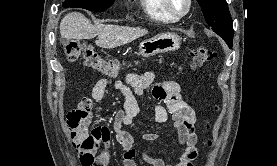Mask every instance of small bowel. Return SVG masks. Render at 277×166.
Segmentation results:
<instances>
[{"mask_svg":"<svg viewBox=\"0 0 277 166\" xmlns=\"http://www.w3.org/2000/svg\"><path fill=\"white\" fill-rule=\"evenodd\" d=\"M154 79L155 74L147 71L142 74L128 73L123 79L102 78L98 80L92 89L91 97L83 98L77 109L67 116L68 127L76 111L85 113V122L88 126L92 119L94 105L103 100L107 88L112 86L124 98L123 106L116 111L113 124L116 141L122 148V166H137L135 138L124 127L133 125V119L140 112V105L136 97L143 95L146 89L153 84ZM152 93L159 102L154 109L155 121L163 123L170 117L176 130L177 141L184 151L178 156L175 163H169L162 157L151 156L145 151H141L140 155L143 161L150 166H193V162L198 156L196 116L193 109L182 100L179 84L174 80H165L156 85ZM141 137L144 141L152 142L157 140L159 135L146 132ZM111 143L112 132L108 126L93 128L79 144L82 163L85 166H115L110 161Z\"/></svg>","mask_w":277,"mask_h":166,"instance_id":"c3829d8e","label":"small bowel"}]
</instances>
